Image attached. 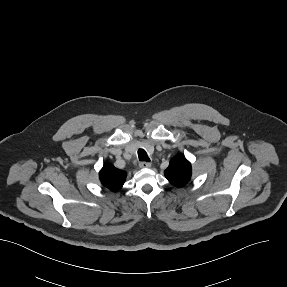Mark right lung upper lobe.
I'll return each instance as SVG.
<instances>
[{"label": "right lung upper lobe", "mask_w": 287, "mask_h": 287, "mask_svg": "<svg viewBox=\"0 0 287 287\" xmlns=\"http://www.w3.org/2000/svg\"><path fill=\"white\" fill-rule=\"evenodd\" d=\"M126 175V172L117 169L110 163L104 164L99 173L102 184L113 192L122 188Z\"/></svg>", "instance_id": "1"}]
</instances>
